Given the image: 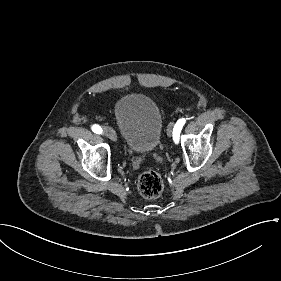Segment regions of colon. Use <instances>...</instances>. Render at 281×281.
<instances>
[{
  "label": "colon",
  "mask_w": 281,
  "mask_h": 281,
  "mask_svg": "<svg viewBox=\"0 0 281 281\" xmlns=\"http://www.w3.org/2000/svg\"><path fill=\"white\" fill-rule=\"evenodd\" d=\"M137 187L144 197L154 199L162 193L164 181L158 172L148 170L138 179Z\"/></svg>",
  "instance_id": "obj_1"
}]
</instances>
